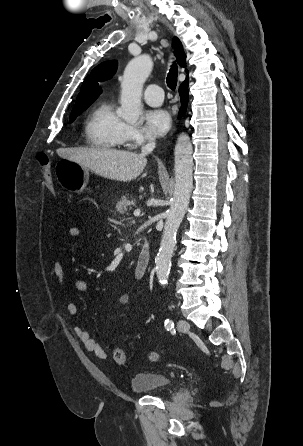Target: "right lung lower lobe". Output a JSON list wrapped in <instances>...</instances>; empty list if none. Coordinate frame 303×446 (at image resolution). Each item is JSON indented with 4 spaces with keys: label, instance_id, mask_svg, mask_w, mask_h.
Returning a JSON list of instances; mask_svg holds the SVG:
<instances>
[{
    "label": "right lung lower lobe",
    "instance_id": "98d812e1",
    "mask_svg": "<svg viewBox=\"0 0 303 446\" xmlns=\"http://www.w3.org/2000/svg\"><path fill=\"white\" fill-rule=\"evenodd\" d=\"M179 94L181 98V109L179 112V116H182L184 112L186 111L187 103H188V80H185L180 88H179Z\"/></svg>",
    "mask_w": 303,
    "mask_h": 446
}]
</instances>
